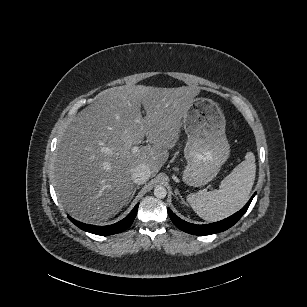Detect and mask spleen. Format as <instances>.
Listing matches in <instances>:
<instances>
[{
    "label": "spleen",
    "instance_id": "1",
    "mask_svg": "<svg viewBox=\"0 0 307 307\" xmlns=\"http://www.w3.org/2000/svg\"><path fill=\"white\" fill-rule=\"evenodd\" d=\"M255 175V156L252 152H247L245 160L221 181L219 190L190 194L187 201L202 219L209 222L222 220L245 205Z\"/></svg>",
    "mask_w": 307,
    "mask_h": 307
}]
</instances>
